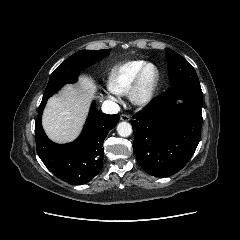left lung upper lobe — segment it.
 Listing matches in <instances>:
<instances>
[{"label":"left lung upper lobe","mask_w":240,"mask_h":240,"mask_svg":"<svg viewBox=\"0 0 240 240\" xmlns=\"http://www.w3.org/2000/svg\"><path fill=\"white\" fill-rule=\"evenodd\" d=\"M165 50L172 87L178 84H200L194 68L185 58L171 49Z\"/></svg>","instance_id":"left-lung-upper-lobe-1"}]
</instances>
